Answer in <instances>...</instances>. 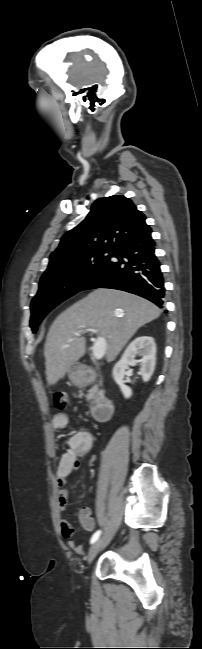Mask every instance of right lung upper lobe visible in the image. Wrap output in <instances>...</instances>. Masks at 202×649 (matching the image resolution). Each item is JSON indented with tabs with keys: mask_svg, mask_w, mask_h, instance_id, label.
<instances>
[{
	"mask_svg": "<svg viewBox=\"0 0 202 649\" xmlns=\"http://www.w3.org/2000/svg\"><path fill=\"white\" fill-rule=\"evenodd\" d=\"M134 203L113 195L96 200L87 217L62 238L42 275L61 271L67 262L93 251H114L125 240L149 229Z\"/></svg>",
	"mask_w": 202,
	"mask_h": 649,
	"instance_id": "obj_1",
	"label": "right lung upper lobe"
}]
</instances>
